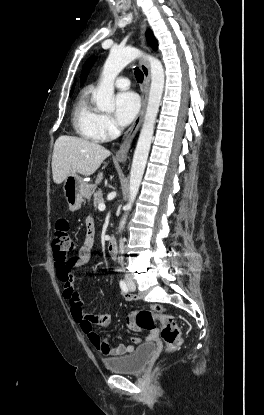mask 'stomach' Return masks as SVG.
Segmentation results:
<instances>
[{"mask_svg":"<svg viewBox=\"0 0 264 415\" xmlns=\"http://www.w3.org/2000/svg\"><path fill=\"white\" fill-rule=\"evenodd\" d=\"M63 191L69 210L74 212L81 208L84 199L91 197L94 186L87 183L76 173H71L64 181Z\"/></svg>","mask_w":264,"mask_h":415,"instance_id":"obj_1","label":"stomach"}]
</instances>
